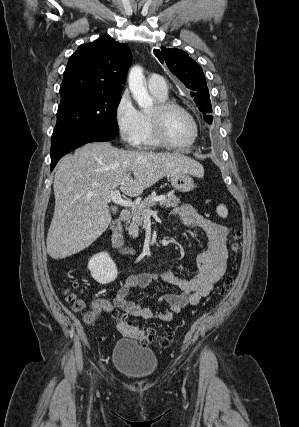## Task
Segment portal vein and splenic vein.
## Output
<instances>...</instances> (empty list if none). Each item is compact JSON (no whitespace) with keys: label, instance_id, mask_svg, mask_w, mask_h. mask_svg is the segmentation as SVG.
Wrapping results in <instances>:
<instances>
[{"label":"portal vein and splenic vein","instance_id":"18ae733b","mask_svg":"<svg viewBox=\"0 0 299 427\" xmlns=\"http://www.w3.org/2000/svg\"><path fill=\"white\" fill-rule=\"evenodd\" d=\"M110 198H111V200H112V202H113V203H115V204H117V205H120V206H122V207H132V208L136 207V204H135L134 202H132L131 200L123 199V198L121 197V194H120V191H119V190H114V191L111 193ZM164 198H165L164 196L154 197V198L152 199V201H154V202H156V201H161V200H163ZM146 213L150 214V213H151V211L147 209V210H146Z\"/></svg>","mask_w":299,"mask_h":427}]
</instances>
